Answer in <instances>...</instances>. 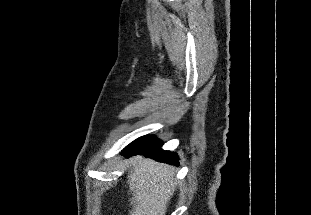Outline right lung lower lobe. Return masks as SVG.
I'll return each mask as SVG.
<instances>
[{
    "mask_svg": "<svg viewBox=\"0 0 311 215\" xmlns=\"http://www.w3.org/2000/svg\"><path fill=\"white\" fill-rule=\"evenodd\" d=\"M161 145V141L154 136H143L130 143L123 151V155L129 157L135 154H143L159 162L178 165L177 155L162 150Z\"/></svg>",
    "mask_w": 311,
    "mask_h": 215,
    "instance_id": "1",
    "label": "right lung lower lobe"
}]
</instances>
